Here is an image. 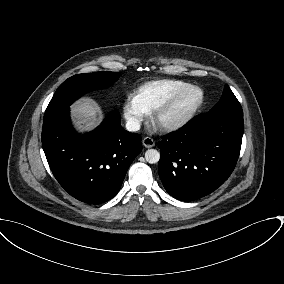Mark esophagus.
I'll list each match as a JSON object with an SVG mask.
<instances>
[{
	"label": "esophagus",
	"mask_w": 284,
	"mask_h": 284,
	"mask_svg": "<svg viewBox=\"0 0 284 284\" xmlns=\"http://www.w3.org/2000/svg\"><path fill=\"white\" fill-rule=\"evenodd\" d=\"M142 144L146 147V148H151L155 145L154 140L151 137H145L142 140Z\"/></svg>",
	"instance_id": "esophagus-1"
}]
</instances>
